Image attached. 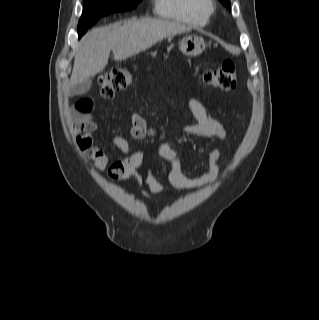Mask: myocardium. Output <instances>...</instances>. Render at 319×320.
<instances>
[{
	"label": "myocardium",
	"instance_id": "obj_1",
	"mask_svg": "<svg viewBox=\"0 0 319 320\" xmlns=\"http://www.w3.org/2000/svg\"><path fill=\"white\" fill-rule=\"evenodd\" d=\"M211 1V3H212V0H210ZM211 9H212V11H213V9H214V6H213V4L211 5Z\"/></svg>",
	"mask_w": 319,
	"mask_h": 320
}]
</instances>
